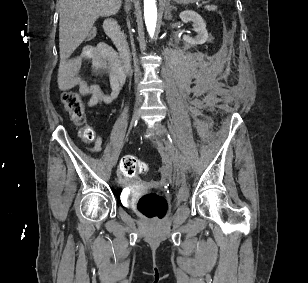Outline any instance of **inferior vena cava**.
<instances>
[{"instance_id":"obj_1","label":"inferior vena cava","mask_w":308,"mask_h":283,"mask_svg":"<svg viewBox=\"0 0 308 283\" xmlns=\"http://www.w3.org/2000/svg\"><path fill=\"white\" fill-rule=\"evenodd\" d=\"M128 11H127V13H128ZM128 24H129V35H131V38H132L131 45H133V50L135 51L134 45L137 44L138 39H137L136 35L134 34V24H133V21L129 20ZM136 72L137 73L135 74V82L137 83L139 81V77H140V72H139L138 68L136 69Z\"/></svg>"}]
</instances>
